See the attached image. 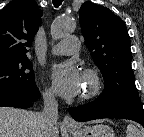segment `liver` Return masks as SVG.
Listing matches in <instances>:
<instances>
[{"instance_id": "1", "label": "liver", "mask_w": 144, "mask_h": 137, "mask_svg": "<svg viewBox=\"0 0 144 137\" xmlns=\"http://www.w3.org/2000/svg\"><path fill=\"white\" fill-rule=\"evenodd\" d=\"M41 113L18 108H0V137H41ZM53 137H58L59 129Z\"/></svg>"}]
</instances>
